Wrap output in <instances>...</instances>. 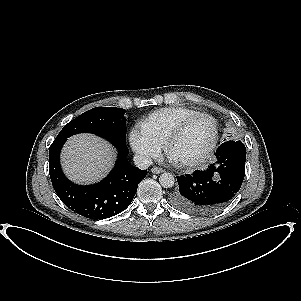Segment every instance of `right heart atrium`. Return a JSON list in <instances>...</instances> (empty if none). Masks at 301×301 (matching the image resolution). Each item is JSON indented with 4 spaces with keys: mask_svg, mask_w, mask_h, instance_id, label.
Wrapping results in <instances>:
<instances>
[{
    "mask_svg": "<svg viewBox=\"0 0 301 301\" xmlns=\"http://www.w3.org/2000/svg\"><path fill=\"white\" fill-rule=\"evenodd\" d=\"M133 151L146 163L157 159L162 151L161 145L147 136L141 129L133 128L129 134Z\"/></svg>",
    "mask_w": 301,
    "mask_h": 301,
    "instance_id": "right-heart-atrium-1",
    "label": "right heart atrium"
}]
</instances>
